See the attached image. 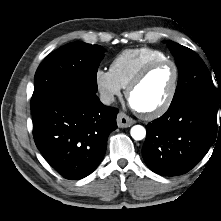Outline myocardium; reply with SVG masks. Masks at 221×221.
I'll return each instance as SVG.
<instances>
[{
  "instance_id": "myocardium-1",
  "label": "myocardium",
  "mask_w": 221,
  "mask_h": 221,
  "mask_svg": "<svg viewBox=\"0 0 221 221\" xmlns=\"http://www.w3.org/2000/svg\"><path fill=\"white\" fill-rule=\"evenodd\" d=\"M171 65L174 71V77L172 86L170 88V91L164 101L155 109L150 111H140L137 109V111L140 113V115L147 119H154L159 116H162L164 113L167 112V110L170 108V106L173 103V100L175 98V95L177 93L178 84H179V68L177 64L170 60V59H161L156 60L148 63L145 65L130 81V83L126 87V97L131 102V94L132 92L144 81V79L149 75V73L154 70L155 68L161 66V65Z\"/></svg>"
}]
</instances>
